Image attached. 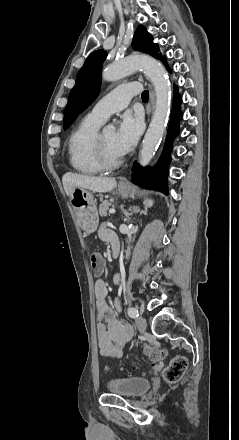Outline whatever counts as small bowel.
Here are the masks:
<instances>
[{
    "label": "small bowel",
    "mask_w": 239,
    "mask_h": 440,
    "mask_svg": "<svg viewBox=\"0 0 239 440\" xmlns=\"http://www.w3.org/2000/svg\"><path fill=\"white\" fill-rule=\"evenodd\" d=\"M99 238L104 242L118 243L116 234L106 226L100 227ZM115 283L120 282V276L116 275ZM107 287L102 279L95 283V298L97 308V337L101 356L105 358H120L123 351L132 337L130 325L120 321L115 316L114 311L106 302ZM115 307L120 310L119 300H115Z\"/></svg>",
    "instance_id": "1"
}]
</instances>
